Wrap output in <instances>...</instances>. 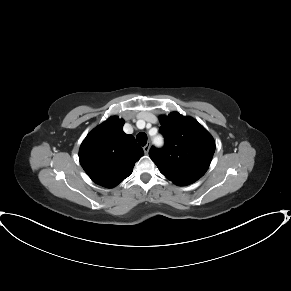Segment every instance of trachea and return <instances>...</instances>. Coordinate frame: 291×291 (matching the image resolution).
Returning <instances> with one entry per match:
<instances>
[{
  "mask_svg": "<svg viewBox=\"0 0 291 291\" xmlns=\"http://www.w3.org/2000/svg\"><path fill=\"white\" fill-rule=\"evenodd\" d=\"M136 139L141 146H145L147 143V135L143 132L138 133Z\"/></svg>",
  "mask_w": 291,
  "mask_h": 291,
  "instance_id": "trachea-1",
  "label": "trachea"
}]
</instances>
